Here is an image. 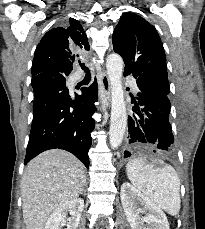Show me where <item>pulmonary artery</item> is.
<instances>
[{
  "label": "pulmonary artery",
  "instance_id": "e3ab8cb5",
  "mask_svg": "<svg viewBox=\"0 0 205 229\" xmlns=\"http://www.w3.org/2000/svg\"><path fill=\"white\" fill-rule=\"evenodd\" d=\"M126 82L131 86V88L133 89V91L137 92L138 91V86L136 84V81L133 77H126L125 78Z\"/></svg>",
  "mask_w": 205,
  "mask_h": 229
}]
</instances>
